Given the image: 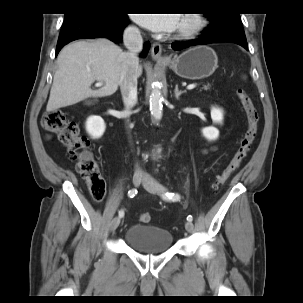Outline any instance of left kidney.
Here are the masks:
<instances>
[{
    "mask_svg": "<svg viewBox=\"0 0 303 303\" xmlns=\"http://www.w3.org/2000/svg\"><path fill=\"white\" fill-rule=\"evenodd\" d=\"M211 118L214 123L222 124L223 110L218 107H211ZM202 134L207 140L213 141L219 137V130L214 126H209L202 129Z\"/></svg>",
    "mask_w": 303,
    "mask_h": 303,
    "instance_id": "5707ae66",
    "label": "left kidney"
}]
</instances>
